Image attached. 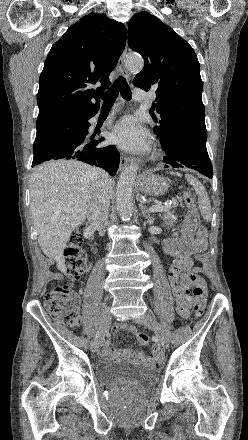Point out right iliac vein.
<instances>
[{
	"mask_svg": "<svg viewBox=\"0 0 248 440\" xmlns=\"http://www.w3.org/2000/svg\"><path fill=\"white\" fill-rule=\"evenodd\" d=\"M111 324V314L108 307L103 309L100 321V333L97 335L91 343V350L97 352L102 344V336L104 332L109 328Z\"/></svg>",
	"mask_w": 248,
	"mask_h": 440,
	"instance_id": "63e3f726",
	"label": "right iliac vein"
}]
</instances>
